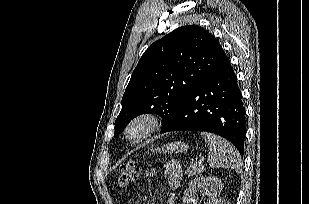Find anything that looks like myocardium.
I'll use <instances>...</instances> for the list:
<instances>
[{"mask_svg": "<svg viewBox=\"0 0 309 204\" xmlns=\"http://www.w3.org/2000/svg\"><path fill=\"white\" fill-rule=\"evenodd\" d=\"M161 124L160 117L156 113L146 112L135 116L125 127L124 136L131 144H138L149 138L158 130ZM141 127L142 132L137 137L131 135L132 131Z\"/></svg>", "mask_w": 309, "mask_h": 204, "instance_id": "myocardium-1", "label": "myocardium"}]
</instances>
